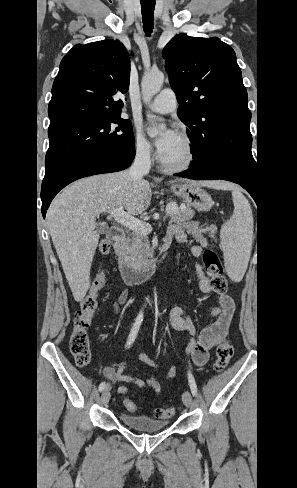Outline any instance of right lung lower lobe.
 Returning <instances> with one entry per match:
<instances>
[{"mask_svg":"<svg viewBox=\"0 0 297 488\" xmlns=\"http://www.w3.org/2000/svg\"><path fill=\"white\" fill-rule=\"evenodd\" d=\"M134 156V147L93 151L74 156L45 173L41 187L43 217L55 195L69 183L86 176L124 170Z\"/></svg>","mask_w":297,"mask_h":488,"instance_id":"98d812e1","label":"right lung lower lobe"}]
</instances>
